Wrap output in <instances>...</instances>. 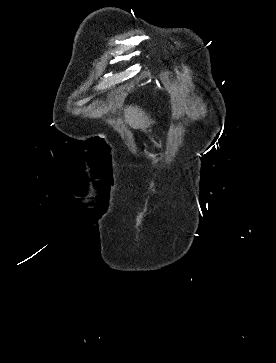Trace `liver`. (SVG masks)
Instances as JSON below:
<instances>
[{"label": "liver", "mask_w": 276, "mask_h": 363, "mask_svg": "<svg viewBox=\"0 0 276 363\" xmlns=\"http://www.w3.org/2000/svg\"><path fill=\"white\" fill-rule=\"evenodd\" d=\"M125 122L134 129H144L154 123L145 112L137 106H129L125 109Z\"/></svg>", "instance_id": "1"}]
</instances>
